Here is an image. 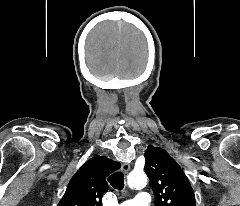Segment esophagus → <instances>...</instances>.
<instances>
[{
  "label": "esophagus",
  "instance_id": "obj_1",
  "mask_svg": "<svg viewBox=\"0 0 240 206\" xmlns=\"http://www.w3.org/2000/svg\"><path fill=\"white\" fill-rule=\"evenodd\" d=\"M130 170V165L128 163H123L122 164V171L127 174Z\"/></svg>",
  "mask_w": 240,
  "mask_h": 206
}]
</instances>
